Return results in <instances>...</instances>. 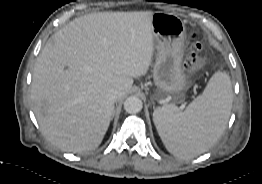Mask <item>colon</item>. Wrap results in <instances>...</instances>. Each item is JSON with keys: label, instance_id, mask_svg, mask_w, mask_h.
<instances>
[{"label": "colon", "instance_id": "obj_1", "mask_svg": "<svg viewBox=\"0 0 262 184\" xmlns=\"http://www.w3.org/2000/svg\"><path fill=\"white\" fill-rule=\"evenodd\" d=\"M202 51H203L202 43L196 38H194L190 45L189 54L184 63L185 69L189 74H195L202 68L203 65V58L201 56Z\"/></svg>", "mask_w": 262, "mask_h": 184}]
</instances>
